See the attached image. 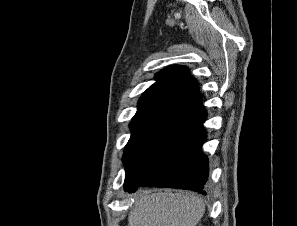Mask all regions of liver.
Wrapping results in <instances>:
<instances>
[{"instance_id":"obj_1","label":"liver","mask_w":297,"mask_h":226,"mask_svg":"<svg viewBox=\"0 0 297 226\" xmlns=\"http://www.w3.org/2000/svg\"><path fill=\"white\" fill-rule=\"evenodd\" d=\"M205 212L202 199L191 193H150L137 195L128 226H196Z\"/></svg>"}]
</instances>
